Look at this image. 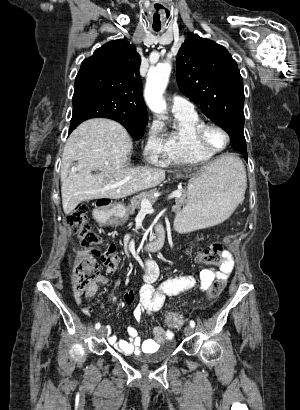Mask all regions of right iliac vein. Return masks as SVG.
I'll use <instances>...</instances> for the list:
<instances>
[{
	"mask_svg": "<svg viewBox=\"0 0 300 410\" xmlns=\"http://www.w3.org/2000/svg\"><path fill=\"white\" fill-rule=\"evenodd\" d=\"M98 336H103L105 334V329L102 327L97 331Z\"/></svg>",
	"mask_w": 300,
	"mask_h": 410,
	"instance_id": "63e3f726",
	"label": "right iliac vein"
}]
</instances>
